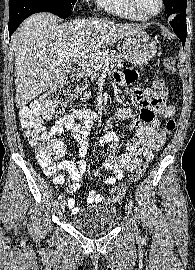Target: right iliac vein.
<instances>
[{
	"label": "right iliac vein",
	"instance_id": "right-iliac-vein-1",
	"mask_svg": "<svg viewBox=\"0 0 195 270\" xmlns=\"http://www.w3.org/2000/svg\"><path fill=\"white\" fill-rule=\"evenodd\" d=\"M65 201L62 200L60 203H59V206H58V214L61 216L64 211H65Z\"/></svg>",
	"mask_w": 195,
	"mask_h": 270
}]
</instances>
